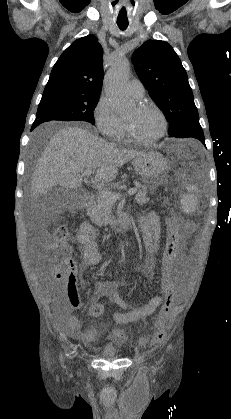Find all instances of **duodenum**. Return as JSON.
Masks as SVG:
<instances>
[{"label":"duodenum","mask_w":231,"mask_h":419,"mask_svg":"<svg viewBox=\"0 0 231 419\" xmlns=\"http://www.w3.org/2000/svg\"><path fill=\"white\" fill-rule=\"evenodd\" d=\"M94 198L91 194H86L83 200V206L89 209L93 206ZM133 223V219L128 214H122L117 216L113 222L107 227L108 232H117L123 227H128Z\"/></svg>","instance_id":"1"}]
</instances>
